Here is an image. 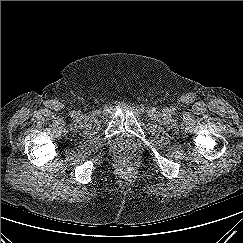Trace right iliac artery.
<instances>
[{
	"mask_svg": "<svg viewBox=\"0 0 243 243\" xmlns=\"http://www.w3.org/2000/svg\"><path fill=\"white\" fill-rule=\"evenodd\" d=\"M69 114H70L71 117H74L76 115V112L75 111H70Z\"/></svg>",
	"mask_w": 243,
	"mask_h": 243,
	"instance_id": "82829eb1",
	"label": "right iliac artery"
}]
</instances>
